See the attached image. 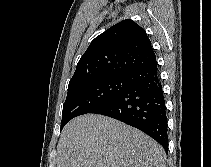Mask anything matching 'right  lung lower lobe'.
<instances>
[{
  "instance_id": "98d812e1",
  "label": "right lung lower lobe",
  "mask_w": 211,
  "mask_h": 167,
  "mask_svg": "<svg viewBox=\"0 0 211 167\" xmlns=\"http://www.w3.org/2000/svg\"><path fill=\"white\" fill-rule=\"evenodd\" d=\"M127 77L128 87L114 100L97 109L145 132L167 151V116L157 62L140 68Z\"/></svg>"
}]
</instances>
